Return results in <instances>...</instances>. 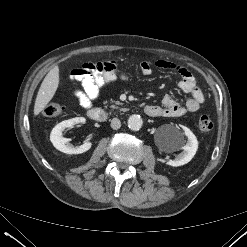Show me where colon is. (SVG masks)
Here are the masks:
<instances>
[{
    "label": "colon",
    "instance_id": "colon-1",
    "mask_svg": "<svg viewBox=\"0 0 247 247\" xmlns=\"http://www.w3.org/2000/svg\"><path fill=\"white\" fill-rule=\"evenodd\" d=\"M63 109L64 108L60 104L49 103L48 105H46L44 107L42 113L46 117H55V116H58L59 114H61ZM197 127H198L199 131L206 133L212 129L213 122L208 115L202 114L199 116V118L197 120Z\"/></svg>",
    "mask_w": 247,
    "mask_h": 247
}]
</instances>
